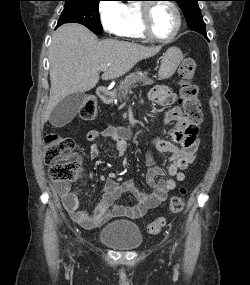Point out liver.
I'll return each mask as SVG.
<instances>
[{"label": "liver", "mask_w": 250, "mask_h": 285, "mask_svg": "<svg viewBox=\"0 0 250 285\" xmlns=\"http://www.w3.org/2000/svg\"><path fill=\"white\" fill-rule=\"evenodd\" d=\"M160 49L114 39L99 41L89 29L76 23L60 26L53 33L49 48L51 89L43 122L65 97L93 89L103 66L110 64L103 80L118 78Z\"/></svg>", "instance_id": "6515ba94"}]
</instances>
